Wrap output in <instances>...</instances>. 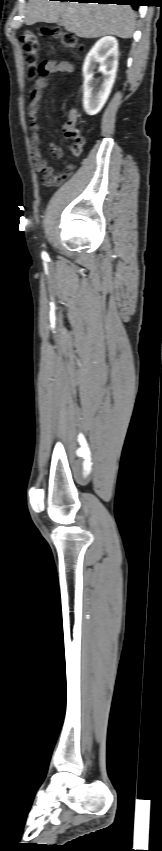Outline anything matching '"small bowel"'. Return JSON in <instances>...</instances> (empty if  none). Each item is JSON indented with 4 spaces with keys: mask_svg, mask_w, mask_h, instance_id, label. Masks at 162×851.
Here are the masks:
<instances>
[{
    "mask_svg": "<svg viewBox=\"0 0 162 851\" xmlns=\"http://www.w3.org/2000/svg\"><path fill=\"white\" fill-rule=\"evenodd\" d=\"M74 71L73 66L67 61H47L41 65V74L36 79L34 83V88L30 95V103H29V117L31 128L33 130V135L31 137V155L35 161L34 167L38 173L42 174L44 181L47 184H54L52 178L54 176V169L49 164V162L45 159L42 148H41V139L38 134V112L40 108V101L42 98V92L47 87L48 84V75L52 73H62V74H72ZM52 153L58 157H63V150L51 143L50 145ZM73 149V145L71 146Z\"/></svg>",
    "mask_w": 162,
    "mask_h": 851,
    "instance_id": "c3829d8e",
    "label": "small bowel"
}]
</instances>
